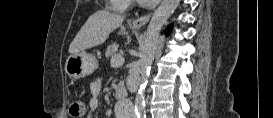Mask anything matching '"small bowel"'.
I'll use <instances>...</instances> for the list:
<instances>
[{
  "instance_id": "1",
  "label": "small bowel",
  "mask_w": 273,
  "mask_h": 118,
  "mask_svg": "<svg viewBox=\"0 0 273 118\" xmlns=\"http://www.w3.org/2000/svg\"><path fill=\"white\" fill-rule=\"evenodd\" d=\"M103 82L101 79H95L90 86L91 97L88 102L90 113L93 114L99 106V95L102 91ZM130 113V107L127 104H116L115 115L117 118H124Z\"/></svg>"
}]
</instances>
